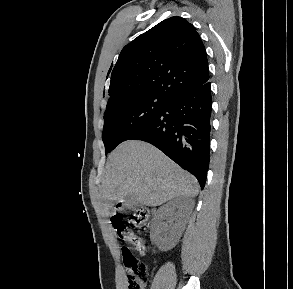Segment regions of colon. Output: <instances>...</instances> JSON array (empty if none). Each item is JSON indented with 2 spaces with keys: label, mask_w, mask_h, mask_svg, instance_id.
Masks as SVG:
<instances>
[{
  "label": "colon",
  "mask_w": 293,
  "mask_h": 289,
  "mask_svg": "<svg viewBox=\"0 0 293 289\" xmlns=\"http://www.w3.org/2000/svg\"><path fill=\"white\" fill-rule=\"evenodd\" d=\"M149 223V212L145 208H137L128 216L115 215L112 224L119 240L131 243L139 252H144L146 243L135 235L137 228H146ZM122 256L127 269V289H144L148 279V266L139 260L133 251L122 248Z\"/></svg>",
  "instance_id": "1"
}]
</instances>
